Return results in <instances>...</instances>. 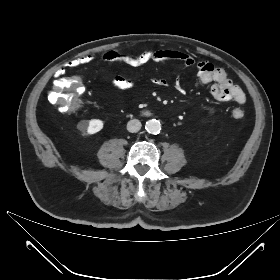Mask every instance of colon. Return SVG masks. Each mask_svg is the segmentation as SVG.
I'll return each mask as SVG.
<instances>
[{
    "mask_svg": "<svg viewBox=\"0 0 280 280\" xmlns=\"http://www.w3.org/2000/svg\"><path fill=\"white\" fill-rule=\"evenodd\" d=\"M81 85V81L75 76L58 75V79L54 84V87L48 94V101L52 104H57V107L61 111H67L70 115H75L81 108V102L77 98L67 97L64 98L63 91L68 88H76ZM238 118L243 117V113L237 112Z\"/></svg>",
    "mask_w": 280,
    "mask_h": 280,
    "instance_id": "5ec220e1",
    "label": "colon"
}]
</instances>
